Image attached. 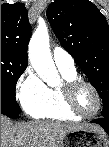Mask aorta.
<instances>
[{
    "label": "aorta",
    "instance_id": "1",
    "mask_svg": "<svg viewBox=\"0 0 109 147\" xmlns=\"http://www.w3.org/2000/svg\"><path fill=\"white\" fill-rule=\"evenodd\" d=\"M28 56L34 70L48 85L57 84L59 75L50 53L48 28L43 21L30 39Z\"/></svg>",
    "mask_w": 109,
    "mask_h": 147
}]
</instances>
